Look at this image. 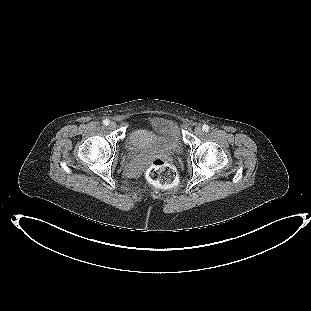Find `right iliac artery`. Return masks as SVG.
<instances>
[{
  "mask_svg": "<svg viewBox=\"0 0 311 311\" xmlns=\"http://www.w3.org/2000/svg\"><path fill=\"white\" fill-rule=\"evenodd\" d=\"M103 124L106 125V126L109 125V120H108V119H105V120L103 121Z\"/></svg>",
  "mask_w": 311,
  "mask_h": 311,
  "instance_id": "obj_1",
  "label": "right iliac artery"
}]
</instances>
